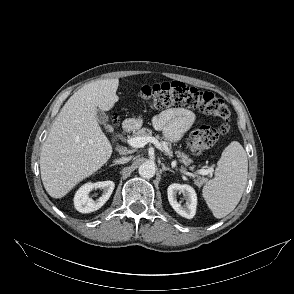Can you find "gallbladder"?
<instances>
[{"instance_id":"gallbladder-1","label":"gallbladder","mask_w":294,"mask_h":294,"mask_svg":"<svg viewBox=\"0 0 294 294\" xmlns=\"http://www.w3.org/2000/svg\"><path fill=\"white\" fill-rule=\"evenodd\" d=\"M96 118L101 124H105L109 119V117L100 109L97 110Z\"/></svg>"}]
</instances>
